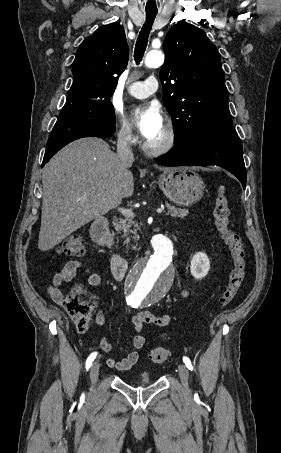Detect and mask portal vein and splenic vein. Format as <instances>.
<instances>
[{
	"instance_id": "obj_1",
	"label": "portal vein and splenic vein",
	"mask_w": 281,
	"mask_h": 453,
	"mask_svg": "<svg viewBox=\"0 0 281 453\" xmlns=\"http://www.w3.org/2000/svg\"><path fill=\"white\" fill-rule=\"evenodd\" d=\"M84 198H87V196H84ZM118 210H120V212H122V214H124V216H127V218H130V216H134V212L133 210H131V208H118ZM164 211L163 208H157V214H161L162 212Z\"/></svg>"
}]
</instances>
